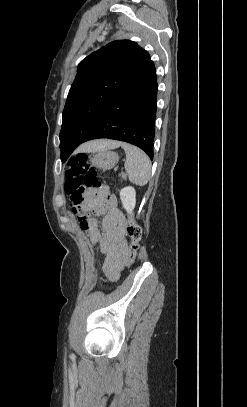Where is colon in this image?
Here are the masks:
<instances>
[{"mask_svg":"<svg viewBox=\"0 0 247 407\" xmlns=\"http://www.w3.org/2000/svg\"><path fill=\"white\" fill-rule=\"evenodd\" d=\"M65 176V191L74 204H80L83 201L84 192L87 189H97L102 185L98 180L96 171L89 164L88 156L83 153L77 154L69 161ZM125 222L126 232L130 237L127 262L129 267L135 261L142 229L128 216H125Z\"/></svg>","mask_w":247,"mask_h":407,"instance_id":"obj_1","label":"colon"}]
</instances>
